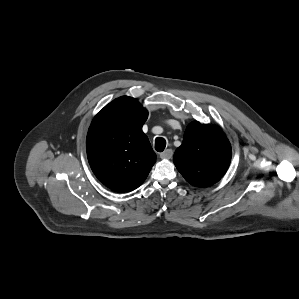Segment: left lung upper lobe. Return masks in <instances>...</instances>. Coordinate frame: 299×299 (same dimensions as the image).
<instances>
[{
	"label": "left lung upper lobe",
	"instance_id": "5c2ea615",
	"mask_svg": "<svg viewBox=\"0 0 299 299\" xmlns=\"http://www.w3.org/2000/svg\"><path fill=\"white\" fill-rule=\"evenodd\" d=\"M231 157V145L219 128L194 121L186 128L173 161L187 182L207 187L223 177Z\"/></svg>",
	"mask_w": 299,
	"mask_h": 299
}]
</instances>
